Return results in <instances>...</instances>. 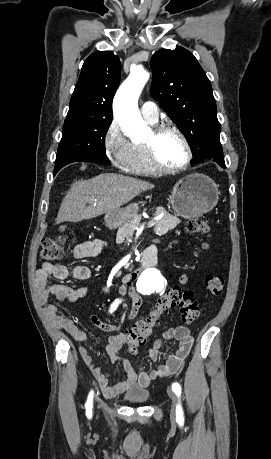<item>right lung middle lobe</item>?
<instances>
[{
	"mask_svg": "<svg viewBox=\"0 0 271 459\" xmlns=\"http://www.w3.org/2000/svg\"><path fill=\"white\" fill-rule=\"evenodd\" d=\"M112 116L67 115L55 165L75 158H90L110 163L105 153V136Z\"/></svg>",
	"mask_w": 271,
	"mask_h": 459,
	"instance_id": "right-lung-middle-lobe-1",
	"label": "right lung middle lobe"
}]
</instances>
